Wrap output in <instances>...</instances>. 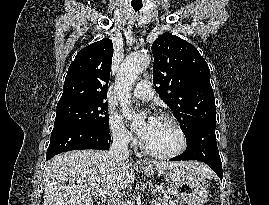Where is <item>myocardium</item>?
Listing matches in <instances>:
<instances>
[{"label": "myocardium", "instance_id": "myocardium-1", "mask_svg": "<svg viewBox=\"0 0 269 205\" xmlns=\"http://www.w3.org/2000/svg\"><path fill=\"white\" fill-rule=\"evenodd\" d=\"M159 119L161 120H165L168 121L169 123L172 124V126L175 128V130L177 131L179 137H180V146L168 153H158L155 151L150 150L145 143L142 144L141 148L143 150V152L152 157V158H156V159H171L174 158L176 156H179L180 154H182L187 146H188V139H187V135L186 132L183 128V126L181 125V123L173 116L167 113L161 114L159 116Z\"/></svg>", "mask_w": 269, "mask_h": 205}]
</instances>
